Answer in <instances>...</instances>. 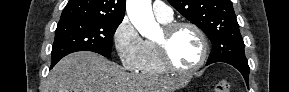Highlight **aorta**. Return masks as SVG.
I'll list each match as a JSON object with an SVG mask.
<instances>
[{
    "mask_svg": "<svg viewBox=\"0 0 289 92\" xmlns=\"http://www.w3.org/2000/svg\"><path fill=\"white\" fill-rule=\"evenodd\" d=\"M126 10L131 23L142 36H150L158 30L155 21L151 0H127Z\"/></svg>",
    "mask_w": 289,
    "mask_h": 92,
    "instance_id": "762f6f07",
    "label": "aorta"
}]
</instances>
